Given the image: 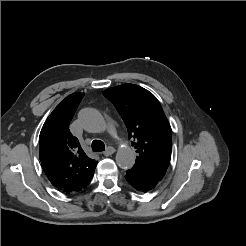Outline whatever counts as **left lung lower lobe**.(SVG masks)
<instances>
[{
	"mask_svg": "<svg viewBox=\"0 0 246 246\" xmlns=\"http://www.w3.org/2000/svg\"><path fill=\"white\" fill-rule=\"evenodd\" d=\"M125 178L130 185L141 192H148L159 183V180L136 167L129 169Z\"/></svg>",
	"mask_w": 246,
	"mask_h": 246,
	"instance_id": "1",
	"label": "left lung lower lobe"
}]
</instances>
